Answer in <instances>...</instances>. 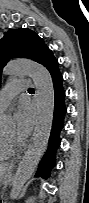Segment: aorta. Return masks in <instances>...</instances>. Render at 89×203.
<instances>
[{
    "label": "aorta",
    "mask_w": 89,
    "mask_h": 203,
    "mask_svg": "<svg viewBox=\"0 0 89 203\" xmlns=\"http://www.w3.org/2000/svg\"><path fill=\"white\" fill-rule=\"evenodd\" d=\"M5 75H28L32 78L38 97L37 117L31 144L26 151L12 179L10 199L17 200L24 185L35 171L42 155L47 149L52 129L55 94L51 74L39 63L25 59H14L4 68ZM10 118L1 116L2 123Z\"/></svg>",
    "instance_id": "1"
}]
</instances>
